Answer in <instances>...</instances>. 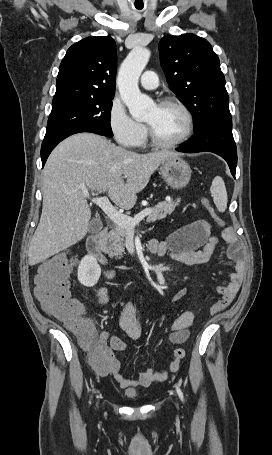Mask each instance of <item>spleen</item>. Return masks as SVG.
Listing matches in <instances>:
<instances>
[{
  "mask_svg": "<svg viewBox=\"0 0 272 455\" xmlns=\"http://www.w3.org/2000/svg\"><path fill=\"white\" fill-rule=\"evenodd\" d=\"M210 192L218 211L224 212L227 208L228 197L225 183L222 177L216 176L213 179Z\"/></svg>",
  "mask_w": 272,
  "mask_h": 455,
  "instance_id": "obj_1",
  "label": "spleen"
}]
</instances>
